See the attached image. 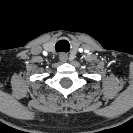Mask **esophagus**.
Wrapping results in <instances>:
<instances>
[{"instance_id":"obj_1","label":"esophagus","mask_w":133,"mask_h":133,"mask_svg":"<svg viewBox=\"0 0 133 133\" xmlns=\"http://www.w3.org/2000/svg\"><path fill=\"white\" fill-rule=\"evenodd\" d=\"M67 59H68L67 54L61 53V54L59 55V60H60L61 62H66Z\"/></svg>"}]
</instances>
